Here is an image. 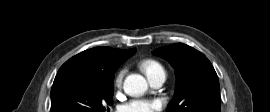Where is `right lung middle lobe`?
<instances>
[{
	"mask_svg": "<svg viewBox=\"0 0 270 112\" xmlns=\"http://www.w3.org/2000/svg\"><path fill=\"white\" fill-rule=\"evenodd\" d=\"M114 74L59 69L51 89L50 112H109Z\"/></svg>",
	"mask_w": 270,
	"mask_h": 112,
	"instance_id": "dd1d6c3e",
	"label": "right lung middle lobe"
}]
</instances>
